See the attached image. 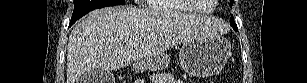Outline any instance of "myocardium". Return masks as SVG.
Instances as JSON below:
<instances>
[{"label":"myocardium","mask_w":307,"mask_h":83,"mask_svg":"<svg viewBox=\"0 0 307 83\" xmlns=\"http://www.w3.org/2000/svg\"><path fill=\"white\" fill-rule=\"evenodd\" d=\"M182 1H184V2H185L186 4H188L190 7H192L194 11H197V12H199V13H201V14H209V13H211V12L213 11V9H214V5H213V4L211 5V8H210L209 10H201V9L199 8V6L195 3L194 0H182Z\"/></svg>","instance_id":"myocardium-1"}]
</instances>
